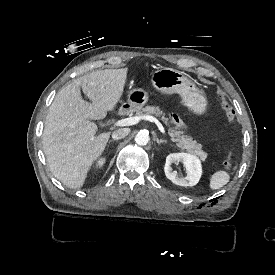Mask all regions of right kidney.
Here are the masks:
<instances>
[{
	"label": "right kidney",
	"mask_w": 275,
	"mask_h": 275,
	"mask_svg": "<svg viewBox=\"0 0 275 275\" xmlns=\"http://www.w3.org/2000/svg\"><path fill=\"white\" fill-rule=\"evenodd\" d=\"M103 164V160H101L100 162H99V165H102Z\"/></svg>",
	"instance_id": "obj_1"
}]
</instances>
